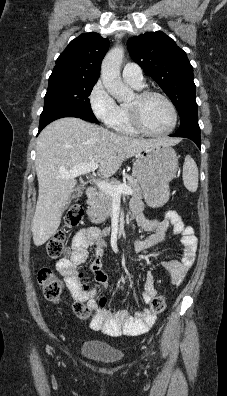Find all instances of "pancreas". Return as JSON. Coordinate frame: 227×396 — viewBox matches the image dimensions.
<instances>
[{"label":"pancreas","mask_w":227,"mask_h":396,"mask_svg":"<svg viewBox=\"0 0 227 396\" xmlns=\"http://www.w3.org/2000/svg\"><path fill=\"white\" fill-rule=\"evenodd\" d=\"M113 185L125 184L133 190V197L141 198L142 189L133 177L127 178V181L123 183L115 180L112 182ZM112 200L113 197L106 194L102 190L96 192V196L93 200L88 202L89 207L87 208V215L92 223L99 224L104 222L112 214Z\"/></svg>","instance_id":"obj_1"}]
</instances>
